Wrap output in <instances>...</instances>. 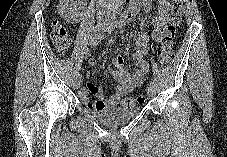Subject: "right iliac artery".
Returning a JSON list of instances; mask_svg holds the SVG:
<instances>
[{
    "mask_svg": "<svg viewBox=\"0 0 227 157\" xmlns=\"http://www.w3.org/2000/svg\"><path fill=\"white\" fill-rule=\"evenodd\" d=\"M95 32L97 31H99V29L96 27L95 28V30H94ZM94 41H103V36H101L100 34H98V33H96V34H94ZM75 74H77V76H79L80 78H81V76H80V69H75Z\"/></svg>",
    "mask_w": 227,
    "mask_h": 157,
    "instance_id": "right-iliac-artery-1",
    "label": "right iliac artery"
}]
</instances>
